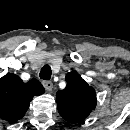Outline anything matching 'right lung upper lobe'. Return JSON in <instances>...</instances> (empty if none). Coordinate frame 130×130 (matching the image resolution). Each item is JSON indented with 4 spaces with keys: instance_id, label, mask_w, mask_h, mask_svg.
Returning a JSON list of instances; mask_svg holds the SVG:
<instances>
[{
    "instance_id": "obj_1",
    "label": "right lung upper lobe",
    "mask_w": 130,
    "mask_h": 130,
    "mask_svg": "<svg viewBox=\"0 0 130 130\" xmlns=\"http://www.w3.org/2000/svg\"><path fill=\"white\" fill-rule=\"evenodd\" d=\"M44 92L36 79L24 83L12 73L3 76L0 78V118L11 123L18 121L26 113L32 98Z\"/></svg>"
}]
</instances>
